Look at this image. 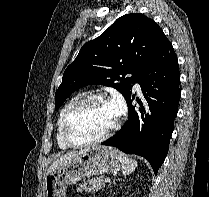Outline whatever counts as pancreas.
<instances>
[{"label": "pancreas", "mask_w": 209, "mask_h": 197, "mask_svg": "<svg viewBox=\"0 0 209 197\" xmlns=\"http://www.w3.org/2000/svg\"><path fill=\"white\" fill-rule=\"evenodd\" d=\"M105 187L103 177L91 178L84 180L83 183L79 184L77 188L78 192L85 191L88 193H96Z\"/></svg>", "instance_id": "obj_1"}]
</instances>
